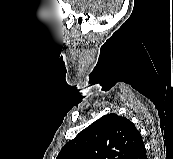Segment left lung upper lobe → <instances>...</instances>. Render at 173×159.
Listing matches in <instances>:
<instances>
[{"label":"left lung upper lobe","mask_w":173,"mask_h":159,"mask_svg":"<svg viewBox=\"0 0 173 159\" xmlns=\"http://www.w3.org/2000/svg\"><path fill=\"white\" fill-rule=\"evenodd\" d=\"M142 144L135 125L112 113L82 130L56 159H130Z\"/></svg>","instance_id":"left-lung-upper-lobe-1"}]
</instances>
